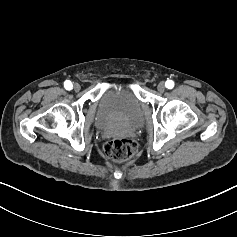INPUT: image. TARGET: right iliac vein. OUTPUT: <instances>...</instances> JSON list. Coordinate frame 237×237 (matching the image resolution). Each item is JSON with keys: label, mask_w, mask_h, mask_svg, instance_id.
<instances>
[{"label": "right iliac vein", "mask_w": 237, "mask_h": 237, "mask_svg": "<svg viewBox=\"0 0 237 237\" xmlns=\"http://www.w3.org/2000/svg\"><path fill=\"white\" fill-rule=\"evenodd\" d=\"M74 90L78 92L80 90V85L78 83L74 84Z\"/></svg>", "instance_id": "right-iliac-vein-1"}]
</instances>
